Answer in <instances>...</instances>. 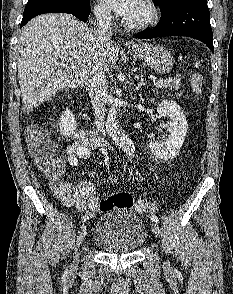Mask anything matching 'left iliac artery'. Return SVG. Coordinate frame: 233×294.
<instances>
[{"label": "left iliac artery", "mask_w": 233, "mask_h": 294, "mask_svg": "<svg viewBox=\"0 0 233 294\" xmlns=\"http://www.w3.org/2000/svg\"><path fill=\"white\" fill-rule=\"evenodd\" d=\"M151 220H152L153 222H155V223L158 222V218H157V216H155V215H152V216H151Z\"/></svg>", "instance_id": "obj_1"}]
</instances>
